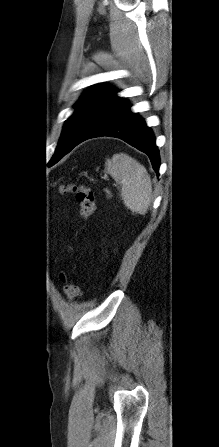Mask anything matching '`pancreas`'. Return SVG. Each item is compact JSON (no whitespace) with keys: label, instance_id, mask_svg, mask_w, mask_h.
Wrapping results in <instances>:
<instances>
[{"label":"pancreas","instance_id":"obj_1","mask_svg":"<svg viewBox=\"0 0 219 447\" xmlns=\"http://www.w3.org/2000/svg\"><path fill=\"white\" fill-rule=\"evenodd\" d=\"M107 192V197L108 198H111L112 197V194L110 193V191H106Z\"/></svg>","mask_w":219,"mask_h":447}]
</instances>
